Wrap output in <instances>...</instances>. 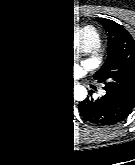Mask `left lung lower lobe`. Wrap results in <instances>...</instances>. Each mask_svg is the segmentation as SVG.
I'll return each mask as SVG.
<instances>
[{"label":"left lung lower lobe","instance_id":"1","mask_svg":"<svg viewBox=\"0 0 135 165\" xmlns=\"http://www.w3.org/2000/svg\"><path fill=\"white\" fill-rule=\"evenodd\" d=\"M135 105L120 94L106 90V94L94 101L88 98L79 104V110L87 120L99 124H115L125 119Z\"/></svg>","mask_w":135,"mask_h":165}]
</instances>
